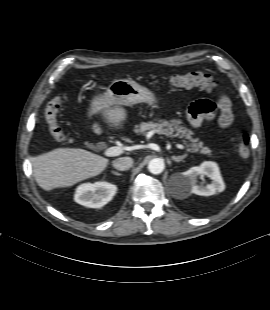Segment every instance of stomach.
I'll use <instances>...</instances> for the list:
<instances>
[{"mask_svg":"<svg viewBox=\"0 0 270 310\" xmlns=\"http://www.w3.org/2000/svg\"><path fill=\"white\" fill-rule=\"evenodd\" d=\"M103 97L126 106L142 102H155V96L148 88L130 79L114 80L106 89Z\"/></svg>","mask_w":270,"mask_h":310,"instance_id":"stomach-1","label":"stomach"}]
</instances>
